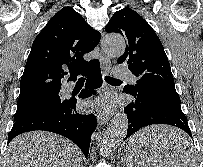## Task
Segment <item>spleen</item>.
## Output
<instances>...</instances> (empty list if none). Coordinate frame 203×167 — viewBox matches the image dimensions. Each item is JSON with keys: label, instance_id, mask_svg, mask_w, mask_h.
<instances>
[{"label": "spleen", "instance_id": "spleen-1", "mask_svg": "<svg viewBox=\"0 0 203 167\" xmlns=\"http://www.w3.org/2000/svg\"><path fill=\"white\" fill-rule=\"evenodd\" d=\"M142 143V142H141ZM131 152L129 160H126L128 167H198L194 152L187 150L181 160L166 161L162 157L156 146L142 148L139 143L136 146L128 147ZM151 149H157L158 154L153 155Z\"/></svg>", "mask_w": 203, "mask_h": 167}]
</instances>
